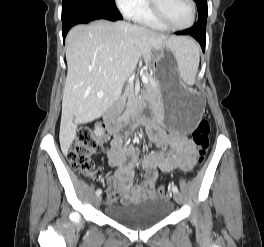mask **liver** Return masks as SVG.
<instances>
[{"label":"liver","mask_w":264,"mask_h":247,"mask_svg":"<svg viewBox=\"0 0 264 247\" xmlns=\"http://www.w3.org/2000/svg\"><path fill=\"white\" fill-rule=\"evenodd\" d=\"M177 39L125 21L98 20L69 31L59 133L64 155L76 136L77 126L101 117L119 98L140 57L148 65L152 51L161 50L166 43L173 47ZM97 93H103V98H98Z\"/></svg>","instance_id":"liver-1"}]
</instances>
